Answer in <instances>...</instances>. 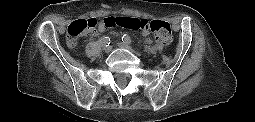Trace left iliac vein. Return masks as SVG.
Here are the masks:
<instances>
[{"instance_id":"4c4485c4","label":"left iliac vein","mask_w":255,"mask_h":122,"mask_svg":"<svg viewBox=\"0 0 255 122\" xmlns=\"http://www.w3.org/2000/svg\"><path fill=\"white\" fill-rule=\"evenodd\" d=\"M117 45H118L120 48L129 50V51H131L132 53L137 54V52H136L131 46H129L128 44H126V43H124V42H118Z\"/></svg>"}]
</instances>
